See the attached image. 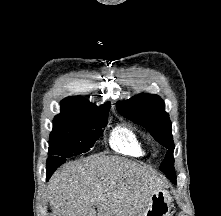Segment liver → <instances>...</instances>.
Returning <instances> with one entry per match:
<instances>
[{"label": "liver", "instance_id": "liver-1", "mask_svg": "<svg viewBox=\"0 0 221 216\" xmlns=\"http://www.w3.org/2000/svg\"><path fill=\"white\" fill-rule=\"evenodd\" d=\"M164 185L150 167L118 156L91 155L58 169L48 194L53 216H142L151 195Z\"/></svg>", "mask_w": 221, "mask_h": 216}]
</instances>
